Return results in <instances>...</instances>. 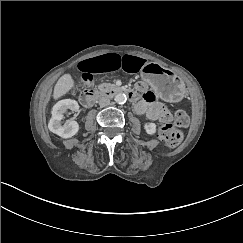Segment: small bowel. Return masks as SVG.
<instances>
[{
    "label": "small bowel",
    "instance_id": "obj_1",
    "mask_svg": "<svg viewBox=\"0 0 243 243\" xmlns=\"http://www.w3.org/2000/svg\"><path fill=\"white\" fill-rule=\"evenodd\" d=\"M144 63L145 61L137 56L108 53L80 62L79 68L87 73L111 72L120 69L136 73ZM137 88L143 94L142 100L136 105L137 113L146 115L152 121H169L171 115L166 107L157 100L156 95L142 82L137 84Z\"/></svg>",
    "mask_w": 243,
    "mask_h": 243
}]
</instances>
